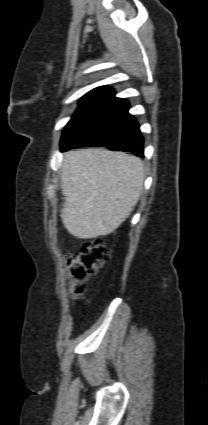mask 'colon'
Segmentation results:
<instances>
[{"label": "colon", "mask_w": 208, "mask_h": 425, "mask_svg": "<svg viewBox=\"0 0 208 425\" xmlns=\"http://www.w3.org/2000/svg\"><path fill=\"white\" fill-rule=\"evenodd\" d=\"M109 259V252L100 238L84 240L78 249L67 257V267L72 277L71 292L80 296L85 292V280L95 274Z\"/></svg>", "instance_id": "5ec220e1"}]
</instances>
